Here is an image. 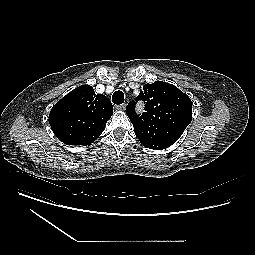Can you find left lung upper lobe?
Masks as SVG:
<instances>
[{
    "label": "left lung upper lobe",
    "instance_id": "obj_1",
    "mask_svg": "<svg viewBox=\"0 0 255 255\" xmlns=\"http://www.w3.org/2000/svg\"><path fill=\"white\" fill-rule=\"evenodd\" d=\"M138 100L145 101L146 112L141 116L135 112ZM126 113L142 144L176 142L192 120V102L176 86L155 81L144 85L135 101L127 105Z\"/></svg>",
    "mask_w": 255,
    "mask_h": 255
}]
</instances>
